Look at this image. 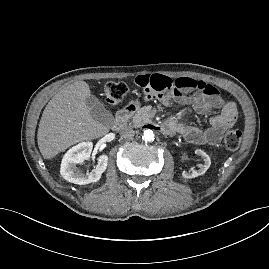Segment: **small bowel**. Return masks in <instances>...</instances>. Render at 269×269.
Returning a JSON list of instances; mask_svg holds the SVG:
<instances>
[{
	"mask_svg": "<svg viewBox=\"0 0 269 269\" xmlns=\"http://www.w3.org/2000/svg\"><path fill=\"white\" fill-rule=\"evenodd\" d=\"M136 83L141 84L146 98H155L166 103L176 99L179 103L190 104L199 114H207L212 109L220 110L219 114L210 119V125L206 129L180 124L174 119L166 122L172 127L170 132H179L189 143L215 144L221 139L224 130L237 120L236 105L225 101L216 88L203 81L189 77L175 79L162 74H150L138 76ZM193 90L196 91L191 95Z\"/></svg>",
	"mask_w": 269,
	"mask_h": 269,
	"instance_id": "1",
	"label": "small bowel"
}]
</instances>
